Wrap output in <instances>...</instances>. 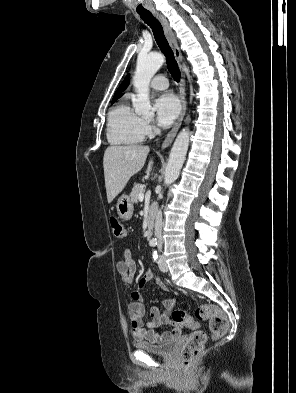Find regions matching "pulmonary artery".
Returning <instances> with one entry per match:
<instances>
[{"instance_id":"obj_1","label":"pulmonary artery","mask_w":296,"mask_h":393,"mask_svg":"<svg viewBox=\"0 0 296 393\" xmlns=\"http://www.w3.org/2000/svg\"><path fill=\"white\" fill-rule=\"evenodd\" d=\"M153 90H166L169 86L168 79L163 75L155 76L150 84Z\"/></svg>"}]
</instances>
